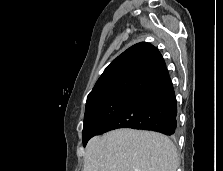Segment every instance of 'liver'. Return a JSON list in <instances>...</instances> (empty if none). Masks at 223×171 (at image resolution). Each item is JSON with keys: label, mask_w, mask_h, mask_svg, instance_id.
<instances>
[{"label": "liver", "mask_w": 223, "mask_h": 171, "mask_svg": "<svg viewBox=\"0 0 223 171\" xmlns=\"http://www.w3.org/2000/svg\"><path fill=\"white\" fill-rule=\"evenodd\" d=\"M178 155L165 135L121 128L86 145L83 171H177Z\"/></svg>", "instance_id": "1"}]
</instances>
